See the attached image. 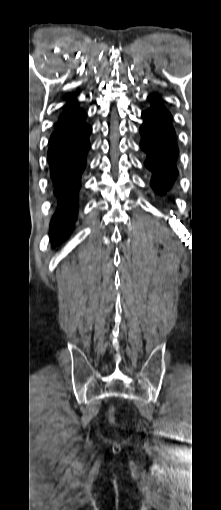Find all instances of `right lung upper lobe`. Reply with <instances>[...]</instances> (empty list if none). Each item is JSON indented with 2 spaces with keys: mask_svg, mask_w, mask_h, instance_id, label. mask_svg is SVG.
<instances>
[{
  "mask_svg": "<svg viewBox=\"0 0 221 510\" xmlns=\"http://www.w3.org/2000/svg\"><path fill=\"white\" fill-rule=\"evenodd\" d=\"M85 117L86 113L78 107L76 99L71 98L65 105L53 134H62L74 129L84 122Z\"/></svg>",
  "mask_w": 221,
  "mask_h": 510,
  "instance_id": "obj_1",
  "label": "right lung upper lobe"
}]
</instances>
